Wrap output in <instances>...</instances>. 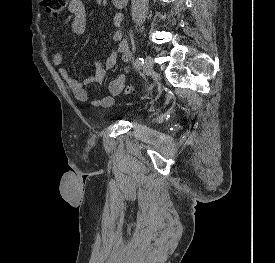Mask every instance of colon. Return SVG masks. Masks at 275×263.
<instances>
[{
    "instance_id": "1",
    "label": "colon",
    "mask_w": 275,
    "mask_h": 263,
    "mask_svg": "<svg viewBox=\"0 0 275 263\" xmlns=\"http://www.w3.org/2000/svg\"><path fill=\"white\" fill-rule=\"evenodd\" d=\"M42 2L44 9L49 14L57 15L65 9L68 0H43ZM133 91L134 87L132 86L126 89V93H132Z\"/></svg>"
}]
</instances>
